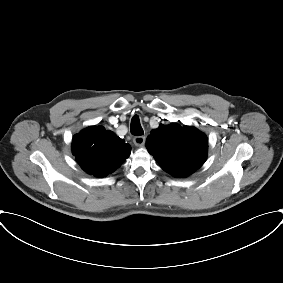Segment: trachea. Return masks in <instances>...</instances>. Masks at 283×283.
Wrapping results in <instances>:
<instances>
[{
  "label": "trachea",
  "instance_id": "3493384b",
  "mask_svg": "<svg viewBox=\"0 0 283 283\" xmlns=\"http://www.w3.org/2000/svg\"><path fill=\"white\" fill-rule=\"evenodd\" d=\"M131 133L136 136L144 134L138 116H134L131 120Z\"/></svg>",
  "mask_w": 283,
  "mask_h": 283
}]
</instances>
